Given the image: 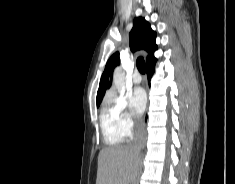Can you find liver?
Returning <instances> with one entry per match:
<instances>
[{"label": "liver", "instance_id": "liver-1", "mask_svg": "<svg viewBox=\"0 0 235 184\" xmlns=\"http://www.w3.org/2000/svg\"><path fill=\"white\" fill-rule=\"evenodd\" d=\"M139 158L131 146L103 148L98 156L96 184H130L135 182Z\"/></svg>", "mask_w": 235, "mask_h": 184}]
</instances>
